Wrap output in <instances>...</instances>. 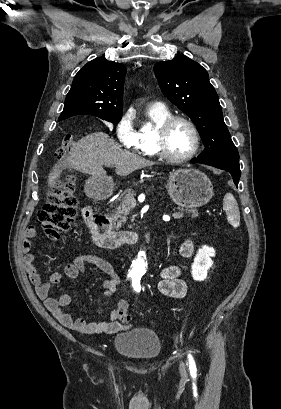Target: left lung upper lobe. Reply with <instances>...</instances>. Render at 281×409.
<instances>
[{"mask_svg": "<svg viewBox=\"0 0 281 409\" xmlns=\"http://www.w3.org/2000/svg\"><path fill=\"white\" fill-rule=\"evenodd\" d=\"M163 94L196 125L205 145L200 160L239 159L207 71L184 55L155 64Z\"/></svg>", "mask_w": 281, "mask_h": 409, "instance_id": "left-lung-upper-lobe-1", "label": "left lung upper lobe"}]
</instances>
